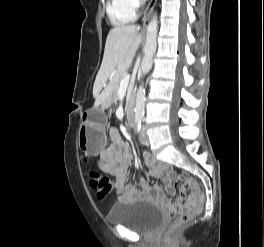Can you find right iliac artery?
Masks as SVG:
<instances>
[{
  "label": "right iliac artery",
  "instance_id": "82829eb1",
  "mask_svg": "<svg viewBox=\"0 0 264 247\" xmlns=\"http://www.w3.org/2000/svg\"><path fill=\"white\" fill-rule=\"evenodd\" d=\"M141 129V121H135L134 123V131L135 133H138Z\"/></svg>",
  "mask_w": 264,
  "mask_h": 247
}]
</instances>
